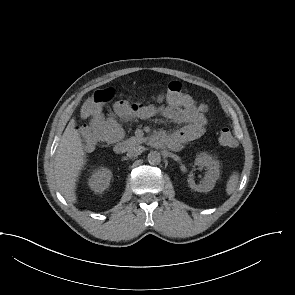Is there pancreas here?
I'll use <instances>...</instances> for the list:
<instances>
[{"instance_id": "pancreas-1", "label": "pancreas", "mask_w": 295, "mask_h": 295, "mask_svg": "<svg viewBox=\"0 0 295 295\" xmlns=\"http://www.w3.org/2000/svg\"><path fill=\"white\" fill-rule=\"evenodd\" d=\"M144 141H145V139L143 137L133 136V137H130L129 139L126 140V144L129 147H133V146L143 143Z\"/></svg>"}]
</instances>
